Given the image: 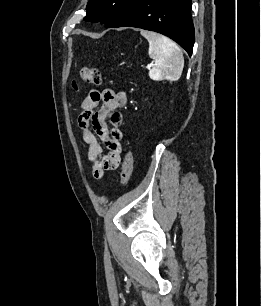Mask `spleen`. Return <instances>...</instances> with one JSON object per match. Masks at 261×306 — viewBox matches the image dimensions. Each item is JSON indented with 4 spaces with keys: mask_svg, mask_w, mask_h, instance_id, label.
Masks as SVG:
<instances>
[{
    "mask_svg": "<svg viewBox=\"0 0 261 306\" xmlns=\"http://www.w3.org/2000/svg\"><path fill=\"white\" fill-rule=\"evenodd\" d=\"M141 35L148 40L149 57L155 61L149 77L156 81H177L184 68L183 53L179 46L168 37L155 32L142 30Z\"/></svg>",
    "mask_w": 261,
    "mask_h": 306,
    "instance_id": "1",
    "label": "spleen"
}]
</instances>
